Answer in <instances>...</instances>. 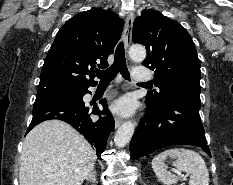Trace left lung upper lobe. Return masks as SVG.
Instances as JSON below:
<instances>
[{
    "label": "left lung upper lobe",
    "instance_id": "left-lung-upper-lobe-1",
    "mask_svg": "<svg viewBox=\"0 0 233 185\" xmlns=\"http://www.w3.org/2000/svg\"><path fill=\"white\" fill-rule=\"evenodd\" d=\"M133 42L143 44L142 65L154 70L158 91H149L146 105L160 108L183 89H201L200 62L194 42L178 22L156 10H144L133 24Z\"/></svg>",
    "mask_w": 233,
    "mask_h": 185
}]
</instances>
